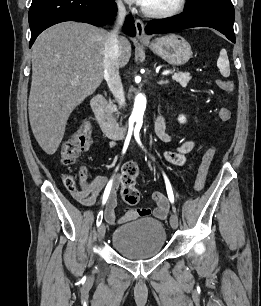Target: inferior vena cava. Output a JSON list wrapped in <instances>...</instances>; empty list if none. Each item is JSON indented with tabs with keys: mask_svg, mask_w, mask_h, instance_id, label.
Here are the masks:
<instances>
[{
	"mask_svg": "<svg viewBox=\"0 0 261 306\" xmlns=\"http://www.w3.org/2000/svg\"><path fill=\"white\" fill-rule=\"evenodd\" d=\"M126 15V10L121 2H118V12L114 29L109 33L104 49V79L122 107L125 106V95L122 81L119 75V30L123 25Z\"/></svg>",
	"mask_w": 261,
	"mask_h": 306,
	"instance_id": "1",
	"label": "inferior vena cava"
}]
</instances>
